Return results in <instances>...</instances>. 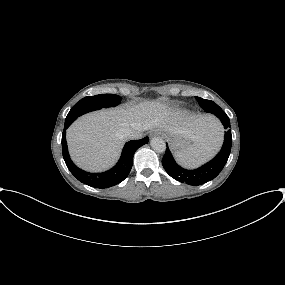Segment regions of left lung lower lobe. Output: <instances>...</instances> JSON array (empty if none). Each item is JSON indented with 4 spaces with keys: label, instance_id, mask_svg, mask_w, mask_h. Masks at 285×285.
I'll use <instances>...</instances> for the list:
<instances>
[{
    "label": "left lung lower lobe",
    "instance_id": "obj_1",
    "mask_svg": "<svg viewBox=\"0 0 285 285\" xmlns=\"http://www.w3.org/2000/svg\"><path fill=\"white\" fill-rule=\"evenodd\" d=\"M213 114H215L221 120L224 128L228 129V131L225 132L224 143L221 151L214 157L213 160L209 161L200 168L195 170H187L180 167L175 162L170 150L167 148L162 159V164L166 172L175 180L192 186H198L214 179L225 166L230 155L232 142L231 130L229 129L230 120L222 109L214 111Z\"/></svg>",
    "mask_w": 285,
    "mask_h": 285
}]
</instances>
